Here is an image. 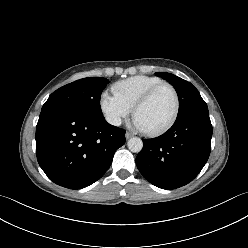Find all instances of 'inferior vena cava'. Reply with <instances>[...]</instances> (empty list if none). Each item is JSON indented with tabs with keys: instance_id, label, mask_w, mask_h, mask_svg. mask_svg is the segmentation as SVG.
<instances>
[{
	"instance_id": "602c4592",
	"label": "inferior vena cava",
	"mask_w": 248,
	"mask_h": 248,
	"mask_svg": "<svg viewBox=\"0 0 248 248\" xmlns=\"http://www.w3.org/2000/svg\"><path fill=\"white\" fill-rule=\"evenodd\" d=\"M107 122L114 125V126H119L121 125L122 121L121 118L116 117V116H108L106 118Z\"/></svg>"
}]
</instances>
